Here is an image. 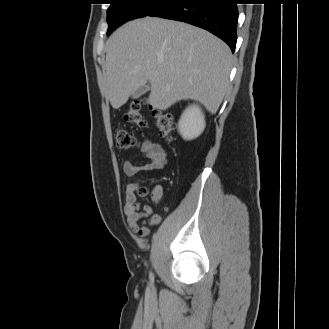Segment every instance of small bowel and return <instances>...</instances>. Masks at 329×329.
I'll list each match as a JSON object with an SVG mask.
<instances>
[{
	"mask_svg": "<svg viewBox=\"0 0 329 329\" xmlns=\"http://www.w3.org/2000/svg\"><path fill=\"white\" fill-rule=\"evenodd\" d=\"M140 151L146 160L143 164L135 165L130 160H126L123 164L124 173L128 178H134L144 171H157L165 167L167 154L158 143L145 140L141 143ZM135 190L136 186L134 184L128 183L126 185L124 213L131 230L140 236H147L150 233L149 226L159 224L161 217L152 214L149 207H143L137 202ZM162 195V187L155 185L152 190V201L159 202Z\"/></svg>",
	"mask_w": 329,
	"mask_h": 329,
	"instance_id": "small-bowel-1",
	"label": "small bowel"
}]
</instances>
